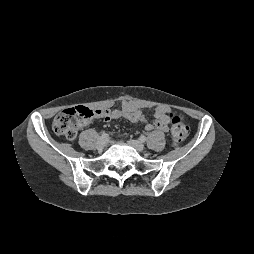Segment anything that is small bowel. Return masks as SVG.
<instances>
[{
  "label": "small bowel",
  "mask_w": 254,
  "mask_h": 254,
  "mask_svg": "<svg viewBox=\"0 0 254 254\" xmlns=\"http://www.w3.org/2000/svg\"><path fill=\"white\" fill-rule=\"evenodd\" d=\"M169 108L165 105H158L154 108V118L152 121L147 120L139 105L123 101L121 106L116 109H102L99 110V117L104 121H111L114 119L124 118L131 123H143L145 129L166 131L168 129L167 114ZM87 124V123H85Z\"/></svg>",
  "instance_id": "c3829d8e"
}]
</instances>
